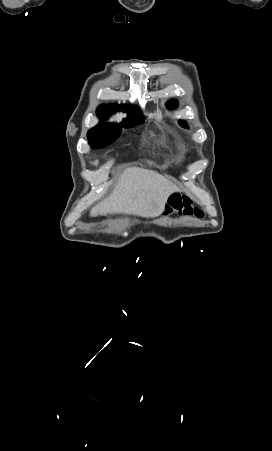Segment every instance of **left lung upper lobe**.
Wrapping results in <instances>:
<instances>
[{
  "instance_id": "5c2ea615",
  "label": "left lung upper lobe",
  "mask_w": 272,
  "mask_h": 451,
  "mask_svg": "<svg viewBox=\"0 0 272 451\" xmlns=\"http://www.w3.org/2000/svg\"><path fill=\"white\" fill-rule=\"evenodd\" d=\"M176 106H177V102H176V101H170V102L168 103V105H167L168 108H174V107H176ZM180 124H181L183 127H187L185 121H180Z\"/></svg>"
}]
</instances>
